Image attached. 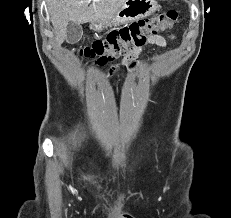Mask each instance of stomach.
<instances>
[{"mask_svg": "<svg viewBox=\"0 0 231 218\" xmlns=\"http://www.w3.org/2000/svg\"><path fill=\"white\" fill-rule=\"evenodd\" d=\"M158 8L156 0H126L112 19L102 23H93L90 28L101 32L111 27H119L145 18Z\"/></svg>", "mask_w": 231, "mask_h": 218, "instance_id": "obj_1", "label": "stomach"}]
</instances>
